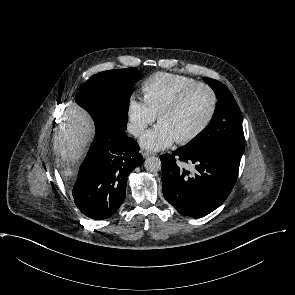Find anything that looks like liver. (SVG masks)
<instances>
[{
    "label": "liver",
    "instance_id": "1",
    "mask_svg": "<svg viewBox=\"0 0 295 295\" xmlns=\"http://www.w3.org/2000/svg\"><path fill=\"white\" fill-rule=\"evenodd\" d=\"M94 126L88 114L79 106L69 103L62 122L54 137V149L64 160L78 161L92 140ZM74 170L67 168L65 175L71 176Z\"/></svg>",
    "mask_w": 295,
    "mask_h": 295
}]
</instances>
